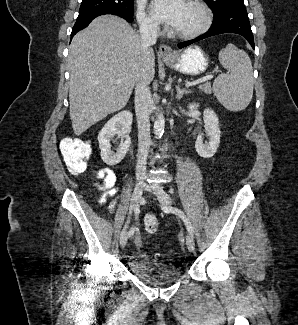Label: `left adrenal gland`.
<instances>
[{"instance_id": "a2214340", "label": "left adrenal gland", "mask_w": 298, "mask_h": 325, "mask_svg": "<svg viewBox=\"0 0 298 325\" xmlns=\"http://www.w3.org/2000/svg\"><path fill=\"white\" fill-rule=\"evenodd\" d=\"M176 90H177V94H176L175 98H182V96H184V94H189V92H192V90H190V88H180V84H177Z\"/></svg>"}]
</instances>
